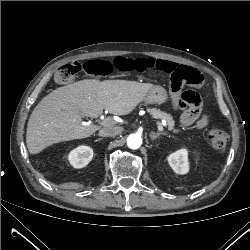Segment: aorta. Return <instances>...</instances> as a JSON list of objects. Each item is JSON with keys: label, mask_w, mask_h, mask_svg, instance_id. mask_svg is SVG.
<instances>
[{"label": "aorta", "mask_w": 250, "mask_h": 250, "mask_svg": "<svg viewBox=\"0 0 250 250\" xmlns=\"http://www.w3.org/2000/svg\"><path fill=\"white\" fill-rule=\"evenodd\" d=\"M142 144V138L138 134H130L127 137V145L131 149H138Z\"/></svg>", "instance_id": "762f6f07"}]
</instances>
